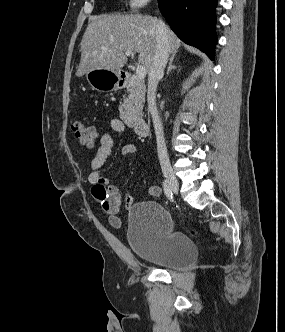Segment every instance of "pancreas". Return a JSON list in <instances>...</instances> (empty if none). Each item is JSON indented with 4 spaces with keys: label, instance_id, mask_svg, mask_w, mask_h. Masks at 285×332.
Segmentation results:
<instances>
[{
    "label": "pancreas",
    "instance_id": "1",
    "mask_svg": "<svg viewBox=\"0 0 285 332\" xmlns=\"http://www.w3.org/2000/svg\"><path fill=\"white\" fill-rule=\"evenodd\" d=\"M127 97H124L119 111L124 120L130 122L142 121L145 102V85L137 77H132L127 87Z\"/></svg>",
    "mask_w": 285,
    "mask_h": 332
}]
</instances>
